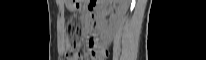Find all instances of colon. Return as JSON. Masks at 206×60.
Instances as JSON below:
<instances>
[{"label":"colon","instance_id":"5ec220e1","mask_svg":"<svg viewBox=\"0 0 206 60\" xmlns=\"http://www.w3.org/2000/svg\"><path fill=\"white\" fill-rule=\"evenodd\" d=\"M67 31H68L67 54L70 60H74L78 56L79 47L81 44L80 32L78 26L73 21H69L67 23ZM103 57H104L103 54H98L96 60H102Z\"/></svg>","mask_w":206,"mask_h":60}]
</instances>
